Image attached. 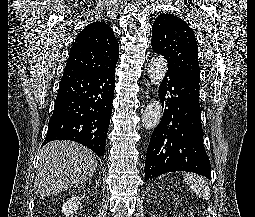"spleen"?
<instances>
[{"label":"spleen","instance_id":"spleen-1","mask_svg":"<svg viewBox=\"0 0 255 217\" xmlns=\"http://www.w3.org/2000/svg\"><path fill=\"white\" fill-rule=\"evenodd\" d=\"M183 178L198 197L209 200L210 188L204 178L195 174H184Z\"/></svg>","mask_w":255,"mask_h":217}]
</instances>
